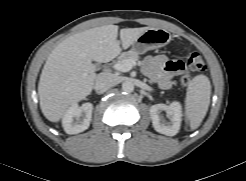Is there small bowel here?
<instances>
[{
  "instance_id": "c3829d8e",
  "label": "small bowel",
  "mask_w": 246,
  "mask_h": 181,
  "mask_svg": "<svg viewBox=\"0 0 246 181\" xmlns=\"http://www.w3.org/2000/svg\"><path fill=\"white\" fill-rule=\"evenodd\" d=\"M183 70L184 65L181 61L170 60L164 54L149 56L144 60V71L162 88L170 87L171 78Z\"/></svg>"
}]
</instances>
